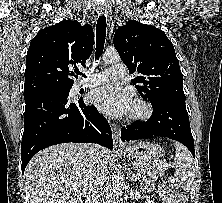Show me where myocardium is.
<instances>
[{"label":"myocardium","mask_w":222,"mask_h":203,"mask_svg":"<svg viewBox=\"0 0 222 203\" xmlns=\"http://www.w3.org/2000/svg\"><path fill=\"white\" fill-rule=\"evenodd\" d=\"M132 105L135 110L129 112L127 117L130 121H141L149 118L152 114V107L149 103L141 98L134 99Z\"/></svg>","instance_id":"f54148a6"}]
</instances>
